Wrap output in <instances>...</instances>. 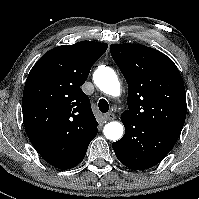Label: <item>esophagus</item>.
Here are the masks:
<instances>
[{
	"instance_id": "esophagus-1",
	"label": "esophagus",
	"mask_w": 199,
	"mask_h": 199,
	"mask_svg": "<svg viewBox=\"0 0 199 199\" xmlns=\"http://www.w3.org/2000/svg\"><path fill=\"white\" fill-rule=\"evenodd\" d=\"M115 118V116H114V114H112V113H108V114H106L105 116H104V119L106 120V121H111V120H113Z\"/></svg>"
}]
</instances>
